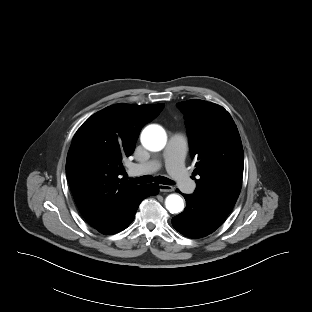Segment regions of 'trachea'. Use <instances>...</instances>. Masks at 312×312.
Masks as SVG:
<instances>
[{"label":"trachea","instance_id":"obj_1","mask_svg":"<svg viewBox=\"0 0 312 312\" xmlns=\"http://www.w3.org/2000/svg\"><path fill=\"white\" fill-rule=\"evenodd\" d=\"M154 180V182L159 183V184H164V185H174L175 183L170 180L169 178L158 176L155 177L154 179L152 176H141L139 178L134 179V182L139 183V184H144V183H151Z\"/></svg>","mask_w":312,"mask_h":312}]
</instances>
